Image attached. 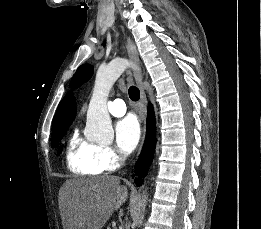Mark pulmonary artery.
<instances>
[{
    "instance_id": "e3ab8cb5",
    "label": "pulmonary artery",
    "mask_w": 261,
    "mask_h": 229,
    "mask_svg": "<svg viewBox=\"0 0 261 229\" xmlns=\"http://www.w3.org/2000/svg\"><path fill=\"white\" fill-rule=\"evenodd\" d=\"M108 111L113 116L120 117V116L124 115V113L126 111V107L122 100L117 99V100L109 103Z\"/></svg>"
}]
</instances>
